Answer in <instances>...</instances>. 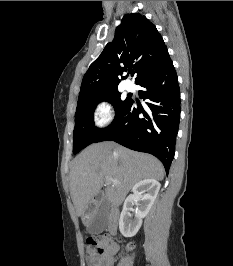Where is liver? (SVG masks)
Wrapping results in <instances>:
<instances>
[{
    "mask_svg": "<svg viewBox=\"0 0 233 266\" xmlns=\"http://www.w3.org/2000/svg\"><path fill=\"white\" fill-rule=\"evenodd\" d=\"M106 178L105 197L112 205H120L133 185L144 179L162 180L164 167L155 157L132 151L114 142L88 146L74 160L70 171V195L76 215L89 225L93 216L86 214L90 201L96 196Z\"/></svg>",
    "mask_w": 233,
    "mask_h": 266,
    "instance_id": "liver-1",
    "label": "liver"
}]
</instances>
